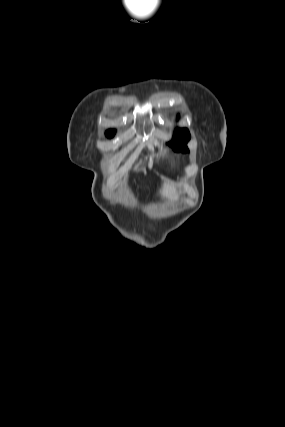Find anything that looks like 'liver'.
<instances>
[{"label": "liver", "mask_w": 285, "mask_h": 427, "mask_svg": "<svg viewBox=\"0 0 285 427\" xmlns=\"http://www.w3.org/2000/svg\"><path fill=\"white\" fill-rule=\"evenodd\" d=\"M160 193L163 197H166L171 201H176L179 198L176 188L168 182L163 184Z\"/></svg>", "instance_id": "obj_1"}]
</instances>
